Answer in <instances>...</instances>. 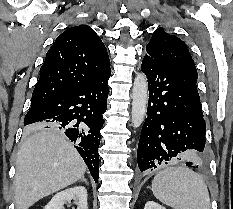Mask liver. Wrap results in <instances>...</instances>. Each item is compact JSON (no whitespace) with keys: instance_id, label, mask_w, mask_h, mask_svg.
Listing matches in <instances>:
<instances>
[{"instance_id":"liver-1","label":"liver","mask_w":233,"mask_h":209,"mask_svg":"<svg viewBox=\"0 0 233 209\" xmlns=\"http://www.w3.org/2000/svg\"><path fill=\"white\" fill-rule=\"evenodd\" d=\"M21 145L16 160V209H29L40 199L84 176L86 164L63 133L38 127Z\"/></svg>"}]
</instances>
